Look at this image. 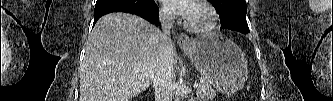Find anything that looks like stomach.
Returning <instances> with one entry per match:
<instances>
[{
    "label": "stomach",
    "mask_w": 333,
    "mask_h": 101,
    "mask_svg": "<svg viewBox=\"0 0 333 101\" xmlns=\"http://www.w3.org/2000/svg\"><path fill=\"white\" fill-rule=\"evenodd\" d=\"M202 77L224 95L237 93L247 80V61L239 47L219 33H209L182 47Z\"/></svg>",
    "instance_id": "obj_1"
}]
</instances>
